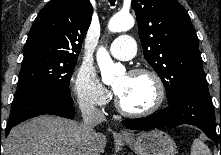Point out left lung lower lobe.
<instances>
[{
	"label": "left lung lower lobe",
	"instance_id": "1",
	"mask_svg": "<svg viewBox=\"0 0 221 155\" xmlns=\"http://www.w3.org/2000/svg\"><path fill=\"white\" fill-rule=\"evenodd\" d=\"M122 124L132 130L190 124L200 128L217 145L215 114L207 84L194 85L185 89L169 103V107L159 113L145 118L123 120Z\"/></svg>",
	"mask_w": 221,
	"mask_h": 155
}]
</instances>
